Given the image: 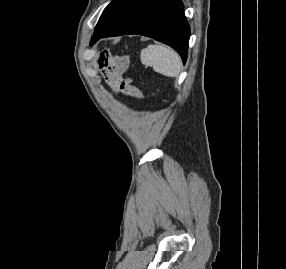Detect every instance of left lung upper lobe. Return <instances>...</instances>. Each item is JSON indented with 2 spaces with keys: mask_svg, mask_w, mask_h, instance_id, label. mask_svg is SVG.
<instances>
[{
  "mask_svg": "<svg viewBox=\"0 0 286 269\" xmlns=\"http://www.w3.org/2000/svg\"><path fill=\"white\" fill-rule=\"evenodd\" d=\"M143 0H113L103 11L94 31L96 33L115 25ZM93 39V38H92ZM92 41V40H91Z\"/></svg>",
  "mask_w": 286,
  "mask_h": 269,
  "instance_id": "obj_1",
  "label": "left lung upper lobe"
}]
</instances>
